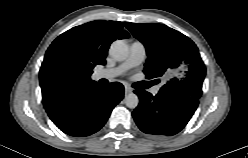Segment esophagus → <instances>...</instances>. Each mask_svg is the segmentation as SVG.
Returning <instances> with one entry per match:
<instances>
[{"label":"esophagus","mask_w":248,"mask_h":158,"mask_svg":"<svg viewBox=\"0 0 248 158\" xmlns=\"http://www.w3.org/2000/svg\"><path fill=\"white\" fill-rule=\"evenodd\" d=\"M132 91H133V89H132L130 86L125 85V94H129V93H131Z\"/></svg>","instance_id":"1"}]
</instances>
